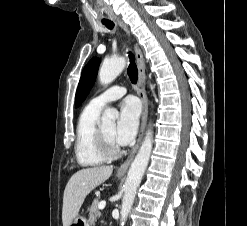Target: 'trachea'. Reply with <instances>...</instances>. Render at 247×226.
I'll list each match as a JSON object with an SVG mask.
<instances>
[{
  "label": "trachea",
  "mask_w": 247,
  "mask_h": 226,
  "mask_svg": "<svg viewBox=\"0 0 247 226\" xmlns=\"http://www.w3.org/2000/svg\"><path fill=\"white\" fill-rule=\"evenodd\" d=\"M104 25L110 30L114 28L113 22H107V23H104ZM128 56H129V60H130V64L127 68L128 76L130 78V81L133 84H136L137 79H138V70H137V67L135 64V58H134L133 53H131V52H128Z\"/></svg>",
  "instance_id": "3493384b"
}]
</instances>
